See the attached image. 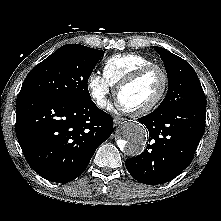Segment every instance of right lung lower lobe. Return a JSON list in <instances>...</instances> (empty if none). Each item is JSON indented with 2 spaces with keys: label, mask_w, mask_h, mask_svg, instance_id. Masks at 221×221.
I'll return each instance as SVG.
<instances>
[{
  "label": "right lung lower lobe",
  "mask_w": 221,
  "mask_h": 221,
  "mask_svg": "<svg viewBox=\"0 0 221 221\" xmlns=\"http://www.w3.org/2000/svg\"><path fill=\"white\" fill-rule=\"evenodd\" d=\"M113 131L112 117L90 101L19 94L16 135L30 167L47 180L66 183L88 166Z\"/></svg>",
  "instance_id": "98d812e1"
}]
</instances>
